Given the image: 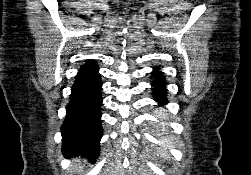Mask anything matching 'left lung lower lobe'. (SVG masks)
Here are the masks:
<instances>
[{
  "label": "left lung lower lobe",
  "mask_w": 251,
  "mask_h": 175,
  "mask_svg": "<svg viewBox=\"0 0 251 175\" xmlns=\"http://www.w3.org/2000/svg\"><path fill=\"white\" fill-rule=\"evenodd\" d=\"M159 70L160 68L157 67ZM156 69L153 70L152 76L155 78L151 83L154 87L153 91V99L158 102L159 106H163L168 103L167 97H166V82L164 81V76L161 71H158Z\"/></svg>",
  "instance_id": "0a47b994"
}]
</instances>
